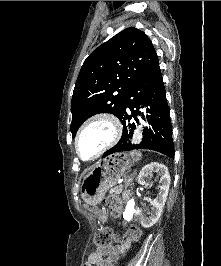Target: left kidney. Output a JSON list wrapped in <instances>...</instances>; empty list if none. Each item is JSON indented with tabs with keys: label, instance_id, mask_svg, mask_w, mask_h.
<instances>
[{
	"label": "left kidney",
	"instance_id": "5707ae66",
	"mask_svg": "<svg viewBox=\"0 0 221 266\" xmlns=\"http://www.w3.org/2000/svg\"><path fill=\"white\" fill-rule=\"evenodd\" d=\"M153 173H158L160 175L159 183L161 185L159 187L160 189L157 197L151 201L152 211L149 216L147 217L139 214L141 225L144 228L152 227L159 220L170 186V175L168 169L165 165L158 162H151L142 168L138 176V183L142 186L147 185V180Z\"/></svg>",
	"mask_w": 221,
	"mask_h": 266
}]
</instances>
